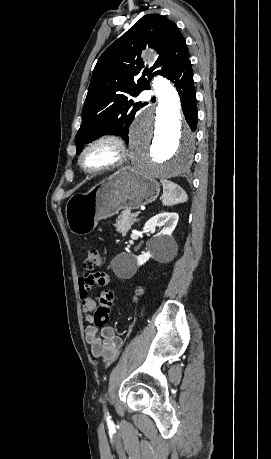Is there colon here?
<instances>
[{
  "instance_id": "5ec220e1",
  "label": "colon",
  "mask_w": 271,
  "mask_h": 459,
  "mask_svg": "<svg viewBox=\"0 0 271 459\" xmlns=\"http://www.w3.org/2000/svg\"><path fill=\"white\" fill-rule=\"evenodd\" d=\"M103 263V256L98 248L92 247L87 252V257L84 261L86 270L92 271L99 268ZM139 294V291H137ZM114 300L113 292L104 290L97 295V307L93 314V322L100 327L106 324L109 317V312Z\"/></svg>"
}]
</instances>
